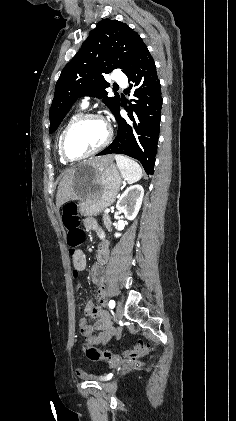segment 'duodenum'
<instances>
[{
	"label": "duodenum",
	"mask_w": 236,
	"mask_h": 421,
	"mask_svg": "<svg viewBox=\"0 0 236 421\" xmlns=\"http://www.w3.org/2000/svg\"><path fill=\"white\" fill-rule=\"evenodd\" d=\"M108 256H109L108 244H107L106 241H103L101 246H100V251H99V265H96L92 270L93 280L98 285L97 296H98V300L101 304H103L105 302V298H106V286H105L106 273H105L104 268L102 267V264L107 262ZM92 311L97 313V315L99 313V311L96 310V309H92ZM104 326H105L104 321L100 318V315H99L98 327L102 331L98 335L91 336L92 330L86 324L82 325V329H83V332L86 336L92 337L96 340H103L105 338Z\"/></svg>",
	"instance_id": "410a0bca"
}]
</instances>
